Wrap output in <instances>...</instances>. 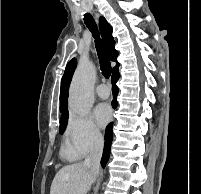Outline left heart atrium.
Here are the masks:
<instances>
[{
    "instance_id": "left-heart-atrium-1",
    "label": "left heart atrium",
    "mask_w": 201,
    "mask_h": 194,
    "mask_svg": "<svg viewBox=\"0 0 201 194\" xmlns=\"http://www.w3.org/2000/svg\"><path fill=\"white\" fill-rule=\"evenodd\" d=\"M111 115V108L105 103L99 104L94 110L95 119L101 127L109 122Z\"/></svg>"
}]
</instances>
